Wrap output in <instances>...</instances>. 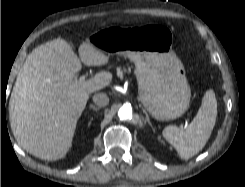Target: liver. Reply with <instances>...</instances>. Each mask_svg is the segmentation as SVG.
I'll return each mask as SVG.
<instances>
[{
  "label": "liver",
  "mask_w": 245,
  "mask_h": 187,
  "mask_svg": "<svg viewBox=\"0 0 245 187\" xmlns=\"http://www.w3.org/2000/svg\"><path fill=\"white\" fill-rule=\"evenodd\" d=\"M79 56L64 39L35 48L26 58L9 101V119L17 143L43 160L56 161L72 145L77 121L89 95L108 86L110 72L78 79L82 64L103 66L109 56L83 41Z\"/></svg>",
  "instance_id": "obj_1"
}]
</instances>
